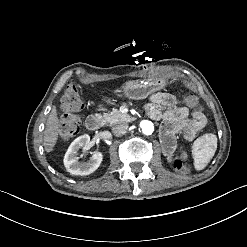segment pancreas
<instances>
[{
  "label": "pancreas",
  "mask_w": 247,
  "mask_h": 247,
  "mask_svg": "<svg viewBox=\"0 0 247 247\" xmlns=\"http://www.w3.org/2000/svg\"><path fill=\"white\" fill-rule=\"evenodd\" d=\"M103 117L110 125H112L117 122L126 121L129 116L121 113L117 109H113L110 113H104Z\"/></svg>",
  "instance_id": "pancreas-1"
}]
</instances>
